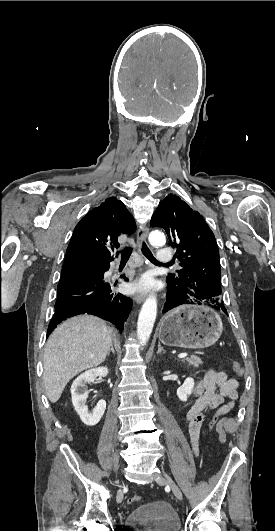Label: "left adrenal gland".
<instances>
[{"instance_id": "a2214340", "label": "left adrenal gland", "mask_w": 275, "mask_h": 531, "mask_svg": "<svg viewBox=\"0 0 275 531\" xmlns=\"http://www.w3.org/2000/svg\"><path fill=\"white\" fill-rule=\"evenodd\" d=\"M161 351H163V353H165L163 347H161V343H158V351H157V355H159V353H161Z\"/></svg>"}]
</instances>
